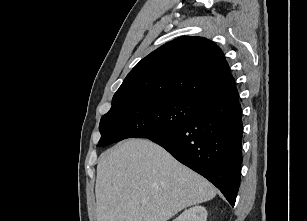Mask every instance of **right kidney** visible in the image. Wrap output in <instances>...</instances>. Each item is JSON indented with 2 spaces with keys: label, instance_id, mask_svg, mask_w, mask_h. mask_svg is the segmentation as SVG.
I'll return each instance as SVG.
<instances>
[{
  "label": "right kidney",
  "instance_id": "ca27d5eb",
  "mask_svg": "<svg viewBox=\"0 0 307 221\" xmlns=\"http://www.w3.org/2000/svg\"><path fill=\"white\" fill-rule=\"evenodd\" d=\"M173 221H207V210L203 206H194L182 212Z\"/></svg>",
  "mask_w": 307,
  "mask_h": 221
}]
</instances>
